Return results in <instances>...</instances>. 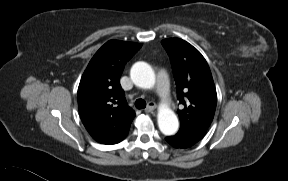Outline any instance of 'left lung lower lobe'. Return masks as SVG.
Returning a JSON list of instances; mask_svg holds the SVG:
<instances>
[{
	"label": "left lung lower lobe",
	"instance_id": "obj_1",
	"mask_svg": "<svg viewBox=\"0 0 288 181\" xmlns=\"http://www.w3.org/2000/svg\"><path fill=\"white\" fill-rule=\"evenodd\" d=\"M206 131L204 130H179L174 136L166 137V141L175 148H188L203 138Z\"/></svg>",
	"mask_w": 288,
	"mask_h": 181
}]
</instances>
